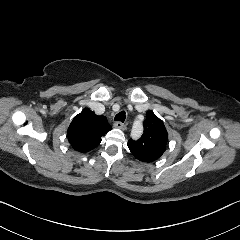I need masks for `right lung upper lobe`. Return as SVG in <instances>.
<instances>
[{"instance_id": "1", "label": "right lung upper lobe", "mask_w": 240, "mask_h": 240, "mask_svg": "<svg viewBox=\"0 0 240 240\" xmlns=\"http://www.w3.org/2000/svg\"><path fill=\"white\" fill-rule=\"evenodd\" d=\"M111 130L105 117L97 116L88 108L72 120L67 136L72 147L79 152H88L99 145L101 137Z\"/></svg>"}]
</instances>
